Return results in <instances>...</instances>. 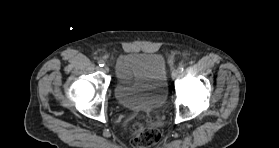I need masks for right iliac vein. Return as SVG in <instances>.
<instances>
[{"instance_id": "right-iliac-vein-1", "label": "right iliac vein", "mask_w": 279, "mask_h": 148, "mask_svg": "<svg viewBox=\"0 0 279 148\" xmlns=\"http://www.w3.org/2000/svg\"><path fill=\"white\" fill-rule=\"evenodd\" d=\"M103 71L106 72V73H108V72H109V67H108L107 65H105V66L103 67Z\"/></svg>"}]
</instances>
